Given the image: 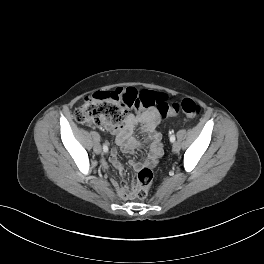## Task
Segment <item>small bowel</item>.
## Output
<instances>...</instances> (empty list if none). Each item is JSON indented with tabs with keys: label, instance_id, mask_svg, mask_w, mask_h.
Listing matches in <instances>:
<instances>
[{
	"label": "small bowel",
	"instance_id": "1",
	"mask_svg": "<svg viewBox=\"0 0 264 264\" xmlns=\"http://www.w3.org/2000/svg\"><path fill=\"white\" fill-rule=\"evenodd\" d=\"M159 123V114L156 109H147L137 114H129L122 126L111 128V132L116 135V142L124 152H130L139 146V142L132 137V132L137 125L142 126V130L147 134V141L150 143V150L147 159L143 164L131 162L130 165L134 170L142 167H153L156 165L159 157L162 155L160 135L156 131ZM110 161L114 167L122 173V165L118 160L116 151H112ZM117 187V193L121 198H130V190L124 182Z\"/></svg>",
	"mask_w": 264,
	"mask_h": 264
}]
</instances>
